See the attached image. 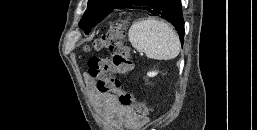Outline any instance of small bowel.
I'll return each mask as SVG.
<instances>
[{
    "instance_id": "1",
    "label": "small bowel",
    "mask_w": 257,
    "mask_h": 130,
    "mask_svg": "<svg viewBox=\"0 0 257 130\" xmlns=\"http://www.w3.org/2000/svg\"><path fill=\"white\" fill-rule=\"evenodd\" d=\"M85 82L94 101L114 127L126 130H138L145 124L146 118L138 115L132 108L121 105L114 95L100 93L90 76H85Z\"/></svg>"
}]
</instances>
